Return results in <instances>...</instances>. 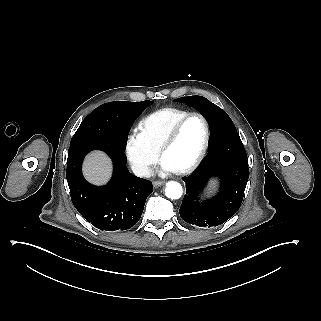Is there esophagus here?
<instances>
[{"label": "esophagus", "instance_id": "obj_1", "mask_svg": "<svg viewBox=\"0 0 321 321\" xmlns=\"http://www.w3.org/2000/svg\"><path fill=\"white\" fill-rule=\"evenodd\" d=\"M165 182L164 181H155V182H153V185L154 186H161V185H163Z\"/></svg>", "mask_w": 321, "mask_h": 321}]
</instances>
